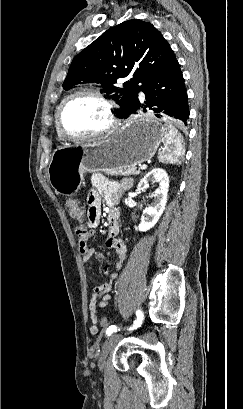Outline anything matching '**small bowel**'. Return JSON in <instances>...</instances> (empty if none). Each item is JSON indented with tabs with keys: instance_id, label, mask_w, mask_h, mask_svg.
Here are the masks:
<instances>
[{
	"instance_id": "c3829d8e",
	"label": "small bowel",
	"mask_w": 243,
	"mask_h": 409,
	"mask_svg": "<svg viewBox=\"0 0 243 409\" xmlns=\"http://www.w3.org/2000/svg\"><path fill=\"white\" fill-rule=\"evenodd\" d=\"M131 179H124L121 182H110L101 176L93 179L92 190L88 196L87 225L91 229L84 237H79V249L84 263H89L91 257L96 253L88 246V241L94 237V228L100 222L102 207L108 210L109 236L106 246L114 250L117 260L115 263L116 270L123 268L126 262V245L124 241L118 238V210L117 203L122 194L132 186ZM103 272L108 276V280L93 288L89 301V315L91 319L90 332L93 335L98 333V309L106 307L111 299L110 291L116 281L117 274L110 272L107 267Z\"/></svg>"
}]
</instances>
